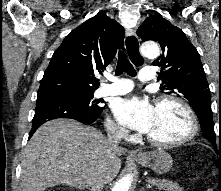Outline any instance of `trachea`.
<instances>
[{
	"instance_id": "3493384b",
	"label": "trachea",
	"mask_w": 221,
	"mask_h": 191,
	"mask_svg": "<svg viewBox=\"0 0 221 191\" xmlns=\"http://www.w3.org/2000/svg\"><path fill=\"white\" fill-rule=\"evenodd\" d=\"M123 72H126L129 76H136V71L133 68L132 64L127 59L126 54L123 51H119L118 53V62L115 74L117 76L121 75Z\"/></svg>"
}]
</instances>
